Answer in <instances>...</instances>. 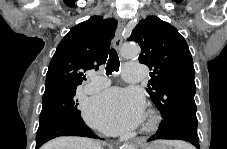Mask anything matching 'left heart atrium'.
<instances>
[{
  "label": "left heart atrium",
  "mask_w": 227,
  "mask_h": 149,
  "mask_svg": "<svg viewBox=\"0 0 227 149\" xmlns=\"http://www.w3.org/2000/svg\"><path fill=\"white\" fill-rule=\"evenodd\" d=\"M84 114L89 124L108 134H120L141 122L144 98L135 90L111 88L92 97Z\"/></svg>",
  "instance_id": "obj_1"
}]
</instances>
